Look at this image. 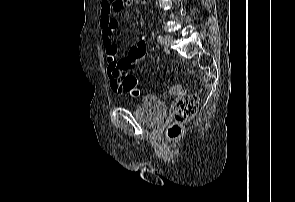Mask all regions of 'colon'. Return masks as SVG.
Segmentation results:
<instances>
[{"mask_svg": "<svg viewBox=\"0 0 295 202\" xmlns=\"http://www.w3.org/2000/svg\"><path fill=\"white\" fill-rule=\"evenodd\" d=\"M116 8L123 7L131 2V0H111ZM141 80L137 79L133 74L124 73L122 75L121 90L129 93L133 96H138L140 91L138 85ZM180 85H174L164 92L165 95H175L180 93ZM199 105V99L196 95H190L180 99L175 108V120L172 122L167 129V137L171 140L179 138L184 129V124L191 119L197 113Z\"/></svg>", "mask_w": 295, "mask_h": 202, "instance_id": "5ec220e1", "label": "colon"}]
</instances>
